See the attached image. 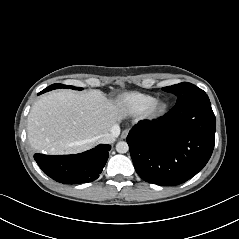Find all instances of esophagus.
<instances>
[{"label":"esophagus","mask_w":239,"mask_h":239,"mask_svg":"<svg viewBox=\"0 0 239 239\" xmlns=\"http://www.w3.org/2000/svg\"><path fill=\"white\" fill-rule=\"evenodd\" d=\"M128 133H129V129L123 130L122 133H121V138L125 139L127 137Z\"/></svg>","instance_id":"esophagus-1"}]
</instances>
